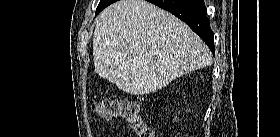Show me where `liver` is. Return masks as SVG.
I'll list each match as a JSON object with an SVG mask.
<instances>
[{
    "instance_id": "1",
    "label": "liver",
    "mask_w": 280,
    "mask_h": 137,
    "mask_svg": "<svg viewBox=\"0 0 280 137\" xmlns=\"http://www.w3.org/2000/svg\"><path fill=\"white\" fill-rule=\"evenodd\" d=\"M96 73L133 95H144L212 64L207 45L184 22L145 0H120L96 19Z\"/></svg>"
}]
</instances>
